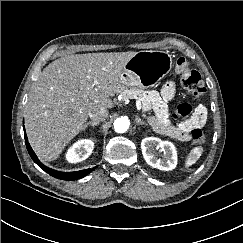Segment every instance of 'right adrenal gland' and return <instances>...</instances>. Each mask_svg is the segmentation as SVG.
Instances as JSON below:
<instances>
[{"label": "right adrenal gland", "instance_id": "obj_1", "mask_svg": "<svg viewBox=\"0 0 243 243\" xmlns=\"http://www.w3.org/2000/svg\"><path fill=\"white\" fill-rule=\"evenodd\" d=\"M98 124H99V122H96V121H89V122H87V123L85 124L83 130H85L89 125H91L92 127H95V126H97Z\"/></svg>", "mask_w": 243, "mask_h": 243}]
</instances>
